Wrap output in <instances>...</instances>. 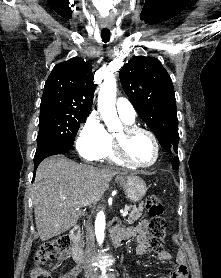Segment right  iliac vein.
Segmentation results:
<instances>
[{
  "label": "right iliac vein",
  "instance_id": "63e3f726",
  "mask_svg": "<svg viewBox=\"0 0 221 278\" xmlns=\"http://www.w3.org/2000/svg\"><path fill=\"white\" fill-rule=\"evenodd\" d=\"M85 278H95V277H94V275H92V274H87V275L85 276Z\"/></svg>",
  "mask_w": 221,
  "mask_h": 278
}]
</instances>
